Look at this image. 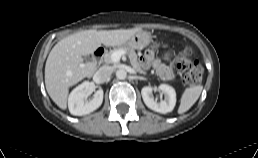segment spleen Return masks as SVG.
<instances>
[{"mask_svg": "<svg viewBox=\"0 0 258 158\" xmlns=\"http://www.w3.org/2000/svg\"><path fill=\"white\" fill-rule=\"evenodd\" d=\"M202 89V85H195L184 90L181 97L180 106L178 108L179 114L185 113L195 104L201 95Z\"/></svg>", "mask_w": 258, "mask_h": 158, "instance_id": "spleen-1", "label": "spleen"}]
</instances>
